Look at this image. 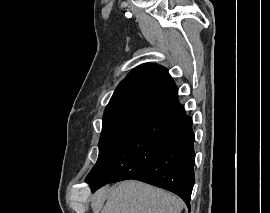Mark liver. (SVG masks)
<instances>
[{"instance_id":"obj_1","label":"liver","mask_w":270,"mask_h":213,"mask_svg":"<svg viewBox=\"0 0 270 213\" xmlns=\"http://www.w3.org/2000/svg\"><path fill=\"white\" fill-rule=\"evenodd\" d=\"M91 205L93 213H180L183 208L177 196L136 181L99 189Z\"/></svg>"}]
</instances>
